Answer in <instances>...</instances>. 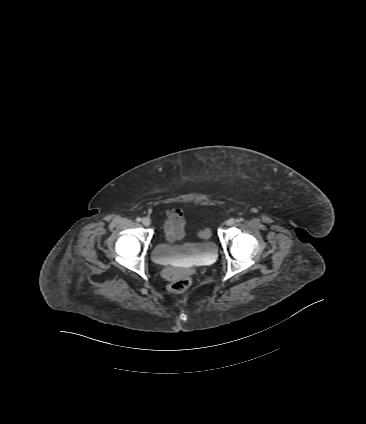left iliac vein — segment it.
Here are the masks:
<instances>
[{
	"instance_id": "4c4485c4",
	"label": "left iliac vein",
	"mask_w": 366,
	"mask_h": 424,
	"mask_svg": "<svg viewBox=\"0 0 366 424\" xmlns=\"http://www.w3.org/2000/svg\"><path fill=\"white\" fill-rule=\"evenodd\" d=\"M235 219H233V218H231V219H228L227 221H226V225H228V226H232V225H234L235 224Z\"/></svg>"
}]
</instances>
